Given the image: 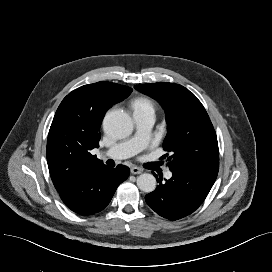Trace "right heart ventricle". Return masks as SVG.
<instances>
[{"label":"right heart ventricle","instance_id":"e07e8e85","mask_svg":"<svg viewBox=\"0 0 272 272\" xmlns=\"http://www.w3.org/2000/svg\"><path fill=\"white\" fill-rule=\"evenodd\" d=\"M134 114H153L155 113V103L147 96H140L131 102Z\"/></svg>","mask_w":272,"mask_h":272}]
</instances>
